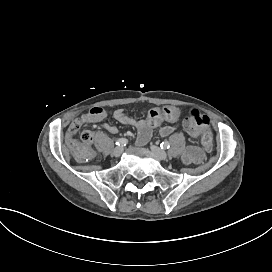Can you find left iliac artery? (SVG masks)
I'll return each mask as SVG.
<instances>
[{"label":"left iliac artery","instance_id":"obj_1","mask_svg":"<svg viewBox=\"0 0 272 272\" xmlns=\"http://www.w3.org/2000/svg\"><path fill=\"white\" fill-rule=\"evenodd\" d=\"M160 147L161 149H168L170 147V144L168 141H163L161 144H160Z\"/></svg>","mask_w":272,"mask_h":272}]
</instances>
